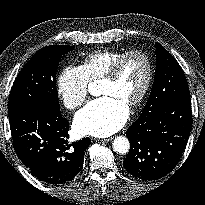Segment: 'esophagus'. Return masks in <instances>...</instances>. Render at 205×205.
<instances>
[{"instance_id":"1","label":"esophagus","mask_w":205,"mask_h":205,"mask_svg":"<svg viewBox=\"0 0 205 205\" xmlns=\"http://www.w3.org/2000/svg\"><path fill=\"white\" fill-rule=\"evenodd\" d=\"M113 139V137H107V138H103L101 139L102 142H109Z\"/></svg>"}]
</instances>
